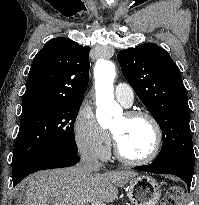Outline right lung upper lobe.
Segmentation results:
<instances>
[{"mask_svg": "<svg viewBox=\"0 0 199 205\" xmlns=\"http://www.w3.org/2000/svg\"><path fill=\"white\" fill-rule=\"evenodd\" d=\"M89 52L90 47L64 37L49 40L33 59L22 111L82 103L89 79Z\"/></svg>", "mask_w": 199, "mask_h": 205, "instance_id": "obj_1", "label": "right lung upper lobe"}]
</instances>
